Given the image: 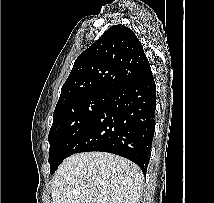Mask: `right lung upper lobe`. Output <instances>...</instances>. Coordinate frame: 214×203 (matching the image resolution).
I'll return each mask as SVG.
<instances>
[{
	"label": "right lung upper lobe",
	"mask_w": 214,
	"mask_h": 203,
	"mask_svg": "<svg viewBox=\"0 0 214 203\" xmlns=\"http://www.w3.org/2000/svg\"><path fill=\"white\" fill-rule=\"evenodd\" d=\"M150 72L134 32L122 24L114 25L75 60L56 107L93 93L111 94Z\"/></svg>",
	"instance_id": "1"
}]
</instances>
